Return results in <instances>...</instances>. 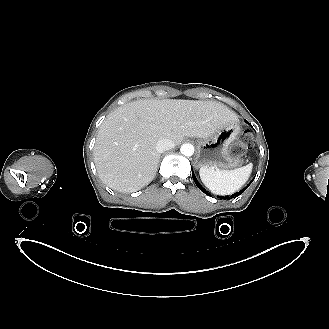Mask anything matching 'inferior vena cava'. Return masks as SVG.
<instances>
[{
	"mask_svg": "<svg viewBox=\"0 0 329 329\" xmlns=\"http://www.w3.org/2000/svg\"><path fill=\"white\" fill-rule=\"evenodd\" d=\"M175 146V143L168 138H162L160 139L156 144V150L159 153H163L164 151H167Z\"/></svg>",
	"mask_w": 329,
	"mask_h": 329,
	"instance_id": "1",
	"label": "inferior vena cava"
}]
</instances>
